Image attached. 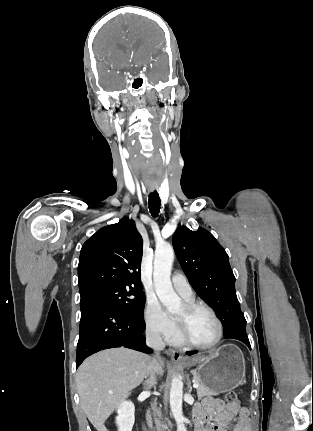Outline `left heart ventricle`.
<instances>
[{
	"label": "left heart ventricle",
	"mask_w": 313,
	"mask_h": 431,
	"mask_svg": "<svg viewBox=\"0 0 313 431\" xmlns=\"http://www.w3.org/2000/svg\"><path fill=\"white\" fill-rule=\"evenodd\" d=\"M184 314V307H182L175 315L180 317ZM187 333L189 338L197 344H210L218 334V328L215 320L205 310H200L193 314L188 322Z\"/></svg>",
	"instance_id": "b2bd125f"
}]
</instances>
